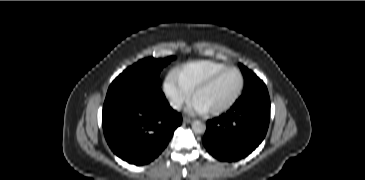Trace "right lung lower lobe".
Instances as JSON below:
<instances>
[{"instance_id":"right-lung-lower-lobe-1","label":"right lung lower lobe","mask_w":365,"mask_h":180,"mask_svg":"<svg viewBox=\"0 0 365 180\" xmlns=\"http://www.w3.org/2000/svg\"><path fill=\"white\" fill-rule=\"evenodd\" d=\"M181 123V115L169 106L160 85H131L106 95L102 111L106 141L131 164L153 161Z\"/></svg>"}]
</instances>
